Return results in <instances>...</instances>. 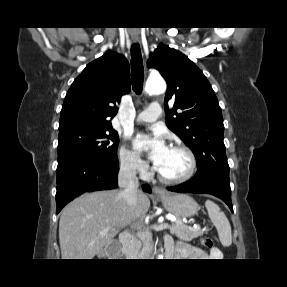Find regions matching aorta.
Wrapping results in <instances>:
<instances>
[{
  "label": "aorta",
  "mask_w": 287,
  "mask_h": 287,
  "mask_svg": "<svg viewBox=\"0 0 287 287\" xmlns=\"http://www.w3.org/2000/svg\"><path fill=\"white\" fill-rule=\"evenodd\" d=\"M145 91L149 94L164 93L166 91V83L162 78H150L146 82ZM160 259H163L162 256H160Z\"/></svg>",
  "instance_id": "762f6f07"
}]
</instances>
